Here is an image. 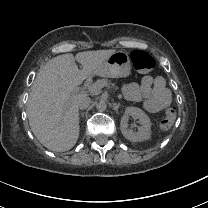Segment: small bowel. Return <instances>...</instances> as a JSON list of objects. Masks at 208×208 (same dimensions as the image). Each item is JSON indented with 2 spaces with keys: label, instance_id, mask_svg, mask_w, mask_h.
Returning <instances> with one entry per match:
<instances>
[{
  "label": "small bowel",
  "instance_id": "1",
  "mask_svg": "<svg viewBox=\"0 0 208 208\" xmlns=\"http://www.w3.org/2000/svg\"><path fill=\"white\" fill-rule=\"evenodd\" d=\"M127 99L134 102H143L146 111L157 113L165 110L170 105V93L166 88L163 77L146 75L141 83H130L124 86Z\"/></svg>",
  "mask_w": 208,
  "mask_h": 208
}]
</instances>
